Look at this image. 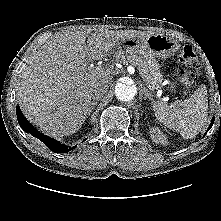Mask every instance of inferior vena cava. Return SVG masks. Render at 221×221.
Wrapping results in <instances>:
<instances>
[{
    "instance_id": "1",
    "label": "inferior vena cava",
    "mask_w": 221,
    "mask_h": 221,
    "mask_svg": "<svg viewBox=\"0 0 221 221\" xmlns=\"http://www.w3.org/2000/svg\"><path fill=\"white\" fill-rule=\"evenodd\" d=\"M107 92V88L103 85H99L98 87H95L93 90V98L98 99L100 97H103Z\"/></svg>"
}]
</instances>
